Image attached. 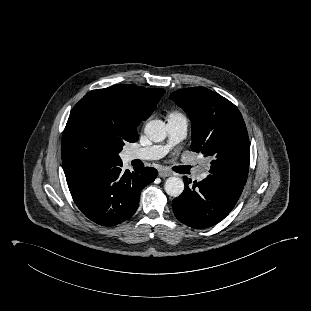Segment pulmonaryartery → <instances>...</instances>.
Here are the masks:
<instances>
[{
    "label": "pulmonary artery",
    "mask_w": 311,
    "mask_h": 311,
    "mask_svg": "<svg viewBox=\"0 0 311 311\" xmlns=\"http://www.w3.org/2000/svg\"><path fill=\"white\" fill-rule=\"evenodd\" d=\"M167 128L169 140L166 145H154L132 150L128 153V158L130 160H156L162 158L172 146L184 139L188 129V121L186 118L168 119ZM207 175V170L203 169L195 177L198 181H202Z\"/></svg>",
    "instance_id": "obj_1"
}]
</instances>
